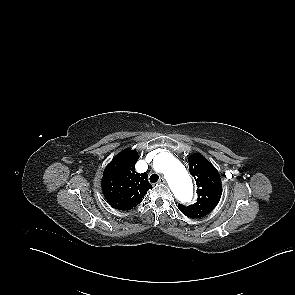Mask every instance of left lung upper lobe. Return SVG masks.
<instances>
[{"label": "left lung upper lobe", "mask_w": 295, "mask_h": 295, "mask_svg": "<svg viewBox=\"0 0 295 295\" xmlns=\"http://www.w3.org/2000/svg\"><path fill=\"white\" fill-rule=\"evenodd\" d=\"M189 171L197 185V202L190 206L178 204L179 210L186 216L201 218L210 213L218 204L221 193V178L215 167L203 156H189Z\"/></svg>", "instance_id": "obj_1"}]
</instances>
